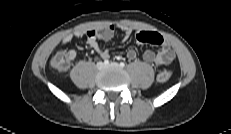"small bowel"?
<instances>
[{"mask_svg":"<svg viewBox=\"0 0 231 134\" xmlns=\"http://www.w3.org/2000/svg\"><path fill=\"white\" fill-rule=\"evenodd\" d=\"M120 29L123 32L121 40H128L132 35V29L126 25H122ZM115 30L116 27L111 25L97 30L76 31L63 37L61 44L64 45L74 38L86 36L87 44L102 58L108 59L110 57V52L107 48H101L99 46V41H110L115 39ZM135 37L137 42L140 44L150 43L159 47L157 52L150 49L143 52L142 58L145 62L155 63L157 65H167L174 60L175 52L171 48L170 44L159 33L139 30L136 32ZM67 54L71 61L76 58V52L74 50L67 51ZM127 57L130 60H135L137 58V52L134 49H130L127 52Z\"/></svg>","mask_w":231,"mask_h":134,"instance_id":"obj_1","label":"small bowel"}]
</instances>
